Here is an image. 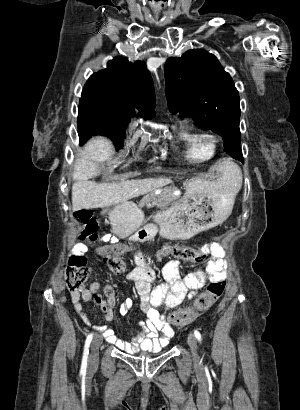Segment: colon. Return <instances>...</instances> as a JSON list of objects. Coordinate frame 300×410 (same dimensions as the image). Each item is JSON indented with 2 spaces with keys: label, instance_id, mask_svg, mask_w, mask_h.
Segmentation results:
<instances>
[{
  "label": "colon",
  "instance_id": "1",
  "mask_svg": "<svg viewBox=\"0 0 300 410\" xmlns=\"http://www.w3.org/2000/svg\"><path fill=\"white\" fill-rule=\"evenodd\" d=\"M83 225V238L88 240L97 239V225L92 214L88 210H80L76 213ZM145 240V236L141 235ZM174 257L176 259L190 261L194 263H203L207 259L205 250L182 244H169L162 246L157 253V257ZM109 270L114 274H120L125 271L126 263L118 255H109L105 258ZM90 275V268L87 266L86 259L83 256H73L70 258L66 270V284L70 292H80ZM226 287L224 280L212 281L207 289L201 293L190 308L181 309L174 312L171 316V322L176 327H183L194 320L199 314L210 308L223 294Z\"/></svg>",
  "mask_w": 300,
  "mask_h": 410
}]
</instances>
